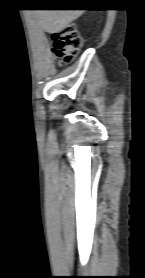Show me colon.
<instances>
[{
	"mask_svg": "<svg viewBox=\"0 0 145 278\" xmlns=\"http://www.w3.org/2000/svg\"><path fill=\"white\" fill-rule=\"evenodd\" d=\"M53 51L62 65L71 64L80 49L81 38L73 24L51 33Z\"/></svg>",
	"mask_w": 145,
	"mask_h": 278,
	"instance_id": "5ec220e1",
	"label": "colon"
}]
</instances>
